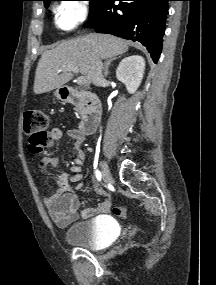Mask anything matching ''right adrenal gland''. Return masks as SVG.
<instances>
[{"label": "right adrenal gland", "instance_id": "right-adrenal-gland-1", "mask_svg": "<svg viewBox=\"0 0 216 285\" xmlns=\"http://www.w3.org/2000/svg\"><path fill=\"white\" fill-rule=\"evenodd\" d=\"M122 55H118V56H114V57H110L109 59H107L104 63V76L107 77L108 75V69H109V66L111 65V63L120 58Z\"/></svg>", "mask_w": 216, "mask_h": 285}]
</instances>
